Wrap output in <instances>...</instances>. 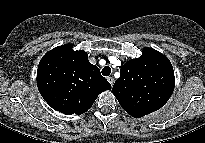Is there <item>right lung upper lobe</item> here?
<instances>
[{
    "mask_svg": "<svg viewBox=\"0 0 205 143\" xmlns=\"http://www.w3.org/2000/svg\"><path fill=\"white\" fill-rule=\"evenodd\" d=\"M37 86L53 109L67 115L85 113L100 93L111 89L87 53L74 51L72 44L55 47L42 57Z\"/></svg>",
    "mask_w": 205,
    "mask_h": 143,
    "instance_id": "right-lung-upper-lobe-1",
    "label": "right lung upper lobe"
}]
</instances>
